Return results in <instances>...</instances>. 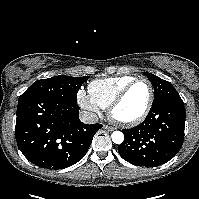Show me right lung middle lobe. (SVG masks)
<instances>
[{
  "mask_svg": "<svg viewBox=\"0 0 199 199\" xmlns=\"http://www.w3.org/2000/svg\"><path fill=\"white\" fill-rule=\"evenodd\" d=\"M89 79L85 77H71L59 75L34 82L20 97L19 100L42 95L77 104V92L81 85Z\"/></svg>",
  "mask_w": 199,
  "mask_h": 199,
  "instance_id": "obj_1",
  "label": "right lung middle lobe"
}]
</instances>
